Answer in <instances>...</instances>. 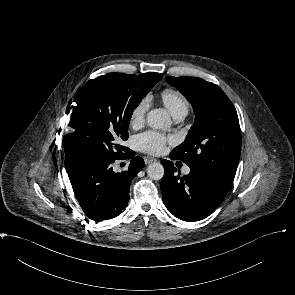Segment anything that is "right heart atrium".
<instances>
[{
    "instance_id": "obj_1",
    "label": "right heart atrium",
    "mask_w": 295,
    "mask_h": 295,
    "mask_svg": "<svg viewBox=\"0 0 295 295\" xmlns=\"http://www.w3.org/2000/svg\"><path fill=\"white\" fill-rule=\"evenodd\" d=\"M150 104V97L144 96L133 106L129 118L130 125L133 128H137L144 123Z\"/></svg>"
}]
</instances>
